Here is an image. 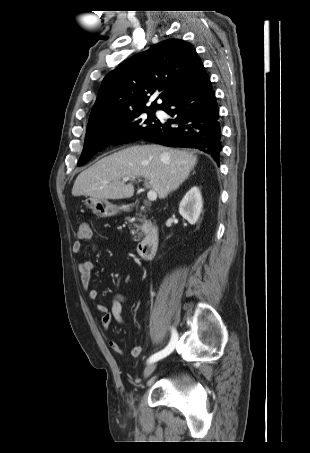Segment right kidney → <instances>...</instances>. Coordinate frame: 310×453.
I'll return each mask as SVG.
<instances>
[{"instance_id": "ca27d5eb", "label": "right kidney", "mask_w": 310, "mask_h": 453, "mask_svg": "<svg viewBox=\"0 0 310 453\" xmlns=\"http://www.w3.org/2000/svg\"><path fill=\"white\" fill-rule=\"evenodd\" d=\"M203 201L198 187H192L183 197L179 205L180 215L193 225L202 212Z\"/></svg>"}]
</instances>
